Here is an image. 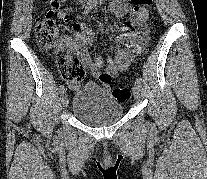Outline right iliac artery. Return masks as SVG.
<instances>
[{"instance_id": "right-iliac-artery-1", "label": "right iliac artery", "mask_w": 207, "mask_h": 179, "mask_svg": "<svg viewBox=\"0 0 207 179\" xmlns=\"http://www.w3.org/2000/svg\"><path fill=\"white\" fill-rule=\"evenodd\" d=\"M90 10H91V6H88V7L85 8L84 13L87 14V13L90 12ZM65 90H66V89H65L64 85H63V84L60 85V88H59L60 93H64Z\"/></svg>"}]
</instances>
